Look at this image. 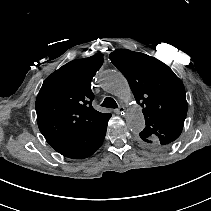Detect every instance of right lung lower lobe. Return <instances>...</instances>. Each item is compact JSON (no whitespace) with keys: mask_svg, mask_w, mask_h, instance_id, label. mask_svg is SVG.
<instances>
[{"mask_svg":"<svg viewBox=\"0 0 211 211\" xmlns=\"http://www.w3.org/2000/svg\"><path fill=\"white\" fill-rule=\"evenodd\" d=\"M110 117L111 114L107 113L92 127L68 135L49 144L54 150L65 157L72 159L87 158L93 155L102 145Z\"/></svg>","mask_w":211,"mask_h":211,"instance_id":"obj_1","label":"right lung lower lobe"}]
</instances>
